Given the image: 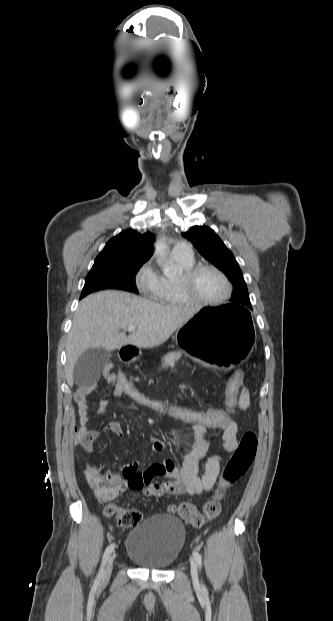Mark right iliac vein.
Returning a JSON list of instances; mask_svg holds the SVG:
<instances>
[{
	"mask_svg": "<svg viewBox=\"0 0 333 621\" xmlns=\"http://www.w3.org/2000/svg\"><path fill=\"white\" fill-rule=\"evenodd\" d=\"M114 556H111L106 564L103 579H108L112 573Z\"/></svg>",
	"mask_w": 333,
	"mask_h": 621,
	"instance_id": "1",
	"label": "right iliac vein"
}]
</instances>
